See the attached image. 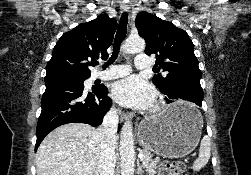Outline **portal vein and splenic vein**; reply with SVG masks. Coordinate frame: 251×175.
Listing matches in <instances>:
<instances>
[{
  "label": "portal vein and splenic vein",
  "instance_id": "18ae733b",
  "mask_svg": "<svg viewBox=\"0 0 251 175\" xmlns=\"http://www.w3.org/2000/svg\"><path fill=\"white\" fill-rule=\"evenodd\" d=\"M138 159L139 160H144L145 159L144 153H141V151H140V153H138ZM84 175H87V173H84Z\"/></svg>",
  "mask_w": 251,
  "mask_h": 175
}]
</instances>
